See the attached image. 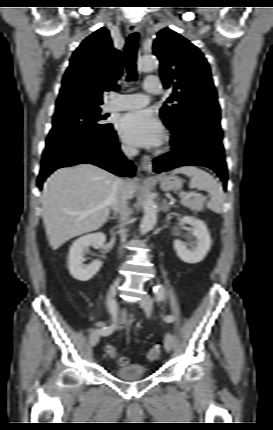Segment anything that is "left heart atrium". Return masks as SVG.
<instances>
[{
	"mask_svg": "<svg viewBox=\"0 0 273 430\" xmlns=\"http://www.w3.org/2000/svg\"><path fill=\"white\" fill-rule=\"evenodd\" d=\"M118 131L129 144L143 147L162 142L164 129L152 111L143 109L124 114L118 122Z\"/></svg>",
	"mask_w": 273,
	"mask_h": 430,
	"instance_id": "1",
	"label": "left heart atrium"
}]
</instances>
